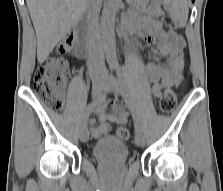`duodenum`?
<instances>
[{"mask_svg":"<svg viewBox=\"0 0 223 191\" xmlns=\"http://www.w3.org/2000/svg\"><path fill=\"white\" fill-rule=\"evenodd\" d=\"M73 30L77 36L82 39V42L78 46L77 52L85 57L88 54L86 41L90 36L89 31L85 29L79 22L75 23ZM121 32L123 35H128L130 33L126 27H124Z\"/></svg>","mask_w":223,"mask_h":191,"instance_id":"duodenum-1","label":"duodenum"}]
</instances>
